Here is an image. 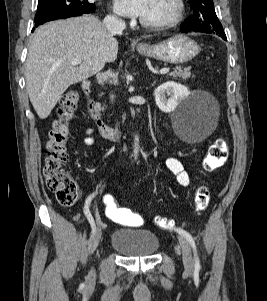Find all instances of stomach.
Listing matches in <instances>:
<instances>
[{"label": "stomach", "mask_w": 267, "mask_h": 301, "mask_svg": "<svg viewBox=\"0 0 267 301\" xmlns=\"http://www.w3.org/2000/svg\"><path fill=\"white\" fill-rule=\"evenodd\" d=\"M137 50L144 56L180 64L196 57L200 52V47L194 40L183 35H176L157 45H138Z\"/></svg>", "instance_id": "1"}]
</instances>
